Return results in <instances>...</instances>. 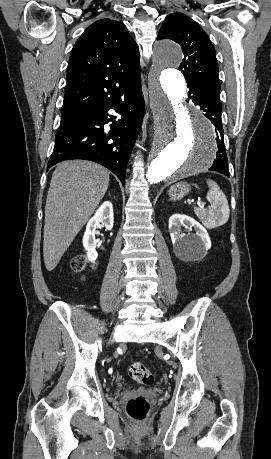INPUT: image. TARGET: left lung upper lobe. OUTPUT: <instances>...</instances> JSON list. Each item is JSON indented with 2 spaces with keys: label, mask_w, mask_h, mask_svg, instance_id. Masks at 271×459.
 Here are the masks:
<instances>
[{
  "label": "left lung upper lobe",
  "mask_w": 271,
  "mask_h": 459,
  "mask_svg": "<svg viewBox=\"0 0 271 459\" xmlns=\"http://www.w3.org/2000/svg\"><path fill=\"white\" fill-rule=\"evenodd\" d=\"M157 39H171L181 46L184 59L179 70L185 75L188 87L209 85L220 90L215 49L195 21L184 14L171 13L165 18Z\"/></svg>",
  "instance_id": "5c2ea615"
}]
</instances>
